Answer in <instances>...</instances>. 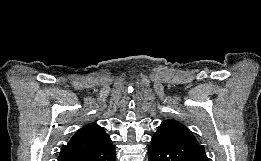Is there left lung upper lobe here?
Masks as SVG:
<instances>
[{"label":"left lung upper lobe","instance_id":"obj_1","mask_svg":"<svg viewBox=\"0 0 261 161\" xmlns=\"http://www.w3.org/2000/svg\"><path fill=\"white\" fill-rule=\"evenodd\" d=\"M156 133L164 134L189 144H198L191 132L184 125L174 120H164Z\"/></svg>","mask_w":261,"mask_h":161}]
</instances>
